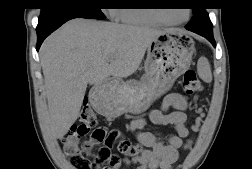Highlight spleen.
<instances>
[{"mask_svg": "<svg viewBox=\"0 0 252 169\" xmlns=\"http://www.w3.org/2000/svg\"><path fill=\"white\" fill-rule=\"evenodd\" d=\"M197 71L199 77L207 83L212 81V72L208 60L205 57H201L197 63Z\"/></svg>", "mask_w": 252, "mask_h": 169, "instance_id": "3e777b00", "label": "spleen"}]
</instances>
